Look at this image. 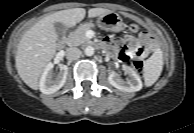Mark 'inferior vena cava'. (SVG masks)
<instances>
[{"label": "inferior vena cava", "mask_w": 194, "mask_h": 133, "mask_svg": "<svg viewBox=\"0 0 194 133\" xmlns=\"http://www.w3.org/2000/svg\"><path fill=\"white\" fill-rule=\"evenodd\" d=\"M82 52L76 47H70L67 49L66 56L68 60H77L80 58Z\"/></svg>", "instance_id": "1"}]
</instances>
